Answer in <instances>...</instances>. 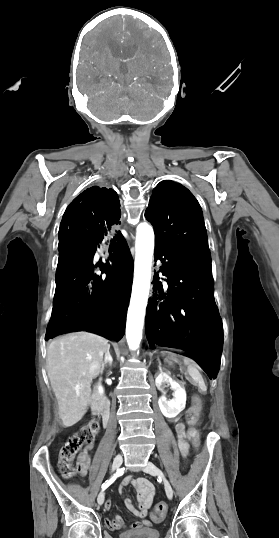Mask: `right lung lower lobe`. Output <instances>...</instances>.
Instances as JSON below:
<instances>
[{
	"instance_id": "right-lung-lower-lobe-1",
	"label": "right lung lower lobe",
	"mask_w": 279,
	"mask_h": 538,
	"mask_svg": "<svg viewBox=\"0 0 279 538\" xmlns=\"http://www.w3.org/2000/svg\"><path fill=\"white\" fill-rule=\"evenodd\" d=\"M120 216L119 198L111 188H88L67 207L59 229L56 290L46 339L83 330L114 340L123 337L133 261L118 230ZM106 240L109 258L95 265L93 256Z\"/></svg>"
}]
</instances>
